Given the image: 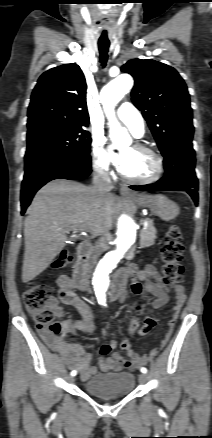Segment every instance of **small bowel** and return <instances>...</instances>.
<instances>
[{"label": "small bowel", "instance_id": "obj_1", "mask_svg": "<svg viewBox=\"0 0 212 438\" xmlns=\"http://www.w3.org/2000/svg\"><path fill=\"white\" fill-rule=\"evenodd\" d=\"M134 276V280L131 284V291L135 295L145 296L146 293H151L155 299L151 301L147 308L158 309L168 303V294L172 293L175 299L173 306V316L169 320L168 330L162 340V344H166L171 337V333L175 327L178 315L186 301L185 288L181 284H173L167 286L162 281L160 274L153 265H147L141 270H137L134 265H130L119 272L117 277L121 278L125 282L129 277ZM57 287L59 298L63 303L71 304L80 312L82 319L75 321L70 318L64 319L62 323L65 332L75 334L77 330H82L87 334H93L95 332V326L93 323V313L91 308L82 300L77 297L73 301L68 302L66 296L74 295V284L70 277L67 275H61L57 278ZM54 313L57 318H63L66 314L63 307L54 304ZM157 322L155 318L150 315L145 316L144 325L139 330L140 335H146L152 331ZM39 333L42 339L55 351L62 355L66 364L76 369L80 373V378L83 381L88 380L93 374L97 372L96 366L91 365V355L87 353L82 346L75 343H68L61 337H56L46 327H39ZM120 346L124 350L128 358H123L118 352L114 350ZM100 359L98 361L99 367L104 372L120 371V370H135L146 363V359L138 355L131 347L127 340H123L118 343L116 340H112L106 343L100 348Z\"/></svg>", "mask_w": 212, "mask_h": 438}]
</instances>
